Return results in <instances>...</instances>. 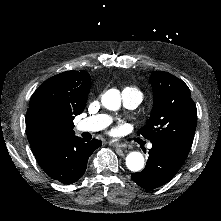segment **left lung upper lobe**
<instances>
[{
	"mask_svg": "<svg viewBox=\"0 0 221 221\" xmlns=\"http://www.w3.org/2000/svg\"><path fill=\"white\" fill-rule=\"evenodd\" d=\"M154 104L150 118L138 135L173 149L186 159L191 148L197 121L196 105L188 86L164 71H154L150 77Z\"/></svg>",
	"mask_w": 221,
	"mask_h": 221,
	"instance_id": "left-lung-upper-lobe-1",
	"label": "left lung upper lobe"
}]
</instances>
